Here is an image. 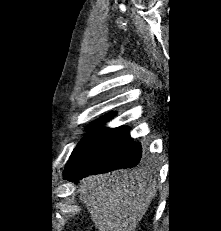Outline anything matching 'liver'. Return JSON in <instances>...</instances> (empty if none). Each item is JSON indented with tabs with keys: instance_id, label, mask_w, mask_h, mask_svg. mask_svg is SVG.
<instances>
[{
	"instance_id": "obj_1",
	"label": "liver",
	"mask_w": 221,
	"mask_h": 231,
	"mask_svg": "<svg viewBox=\"0 0 221 231\" xmlns=\"http://www.w3.org/2000/svg\"><path fill=\"white\" fill-rule=\"evenodd\" d=\"M79 192L100 231H134L156 194V181L141 170H119L83 179Z\"/></svg>"
}]
</instances>
